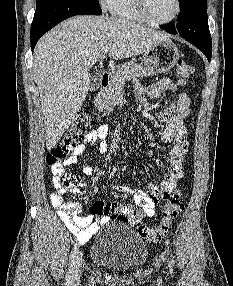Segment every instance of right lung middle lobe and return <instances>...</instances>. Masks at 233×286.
Returning <instances> with one entry per match:
<instances>
[{"label": "right lung middle lobe", "mask_w": 233, "mask_h": 286, "mask_svg": "<svg viewBox=\"0 0 233 286\" xmlns=\"http://www.w3.org/2000/svg\"><path fill=\"white\" fill-rule=\"evenodd\" d=\"M53 1L55 0H37L35 13L42 11L45 7H47ZM69 1H73L79 5L88 7L98 14H102V10H101L98 0H69Z\"/></svg>", "instance_id": "right-lung-middle-lobe-1"}]
</instances>
